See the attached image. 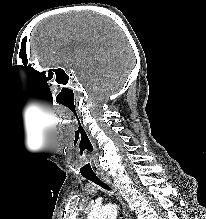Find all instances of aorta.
Wrapping results in <instances>:
<instances>
[{
    "mask_svg": "<svg viewBox=\"0 0 206 219\" xmlns=\"http://www.w3.org/2000/svg\"><path fill=\"white\" fill-rule=\"evenodd\" d=\"M117 209L113 205H106L102 208L94 209L88 215V219H116Z\"/></svg>",
    "mask_w": 206,
    "mask_h": 219,
    "instance_id": "aorta-1",
    "label": "aorta"
}]
</instances>
